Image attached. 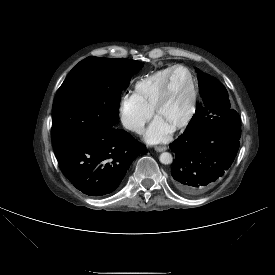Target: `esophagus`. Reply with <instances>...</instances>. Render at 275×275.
Returning a JSON list of instances; mask_svg holds the SVG:
<instances>
[{
	"label": "esophagus",
	"mask_w": 275,
	"mask_h": 275,
	"mask_svg": "<svg viewBox=\"0 0 275 275\" xmlns=\"http://www.w3.org/2000/svg\"><path fill=\"white\" fill-rule=\"evenodd\" d=\"M155 150L157 152H163V151L167 150V147L166 146H156Z\"/></svg>",
	"instance_id": "34e87169"
}]
</instances>
